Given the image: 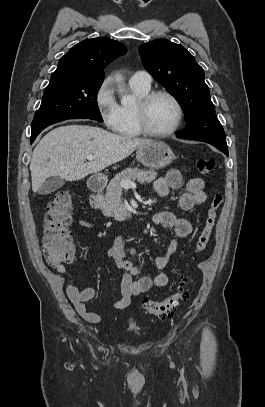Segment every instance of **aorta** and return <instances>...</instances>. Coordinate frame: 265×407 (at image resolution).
Returning <instances> with one entry per match:
<instances>
[{
	"instance_id": "obj_1",
	"label": "aorta",
	"mask_w": 265,
	"mask_h": 407,
	"mask_svg": "<svg viewBox=\"0 0 265 407\" xmlns=\"http://www.w3.org/2000/svg\"><path fill=\"white\" fill-rule=\"evenodd\" d=\"M116 79L118 81L122 80V77L119 74H116ZM134 102V98L130 95H123L121 96V103L123 105L132 104Z\"/></svg>"
}]
</instances>
